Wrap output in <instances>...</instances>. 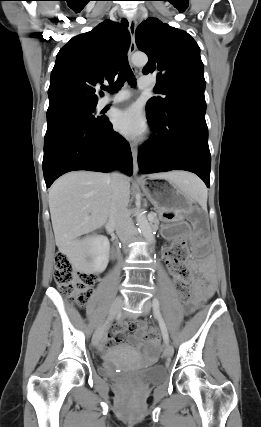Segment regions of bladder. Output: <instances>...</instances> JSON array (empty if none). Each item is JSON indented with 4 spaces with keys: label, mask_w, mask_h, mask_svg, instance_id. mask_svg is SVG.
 <instances>
[{
    "label": "bladder",
    "mask_w": 261,
    "mask_h": 427,
    "mask_svg": "<svg viewBox=\"0 0 261 427\" xmlns=\"http://www.w3.org/2000/svg\"><path fill=\"white\" fill-rule=\"evenodd\" d=\"M98 372L101 376L106 378L134 376L149 383L160 382L166 376V370L161 365L135 369L129 366H117L112 362H105L101 367H99Z\"/></svg>",
    "instance_id": "bladder-1"
}]
</instances>
